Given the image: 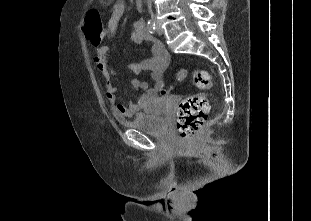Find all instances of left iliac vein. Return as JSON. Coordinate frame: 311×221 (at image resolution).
I'll list each match as a JSON object with an SVG mask.
<instances>
[{"mask_svg": "<svg viewBox=\"0 0 311 221\" xmlns=\"http://www.w3.org/2000/svg\"><path fill=\"white\" fill-rule=\"evenodd\" d=\"M155 25H156V31H157V33H158L159 35H162V34H163V30H162L160 24H159L157 21H155Z\"/></svg>", "mask_w": 311, "mask_h": 221, "instance_id": "left-iliac-vein-1", "label": "left iliac vein"}]
</instances>
